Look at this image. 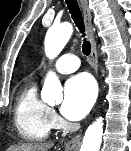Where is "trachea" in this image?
<instances>
[{"label": "trachea", "instance_id": "3493384b", "mask_svg": "<svg viewBox=\"0 0 131 151\" xmlns=\"http://www.w3.org/2000/svg\"><path fill=\"white\" fill-rule=\"evenodd\" d=\"M65 1L74 23L78 27L79 31L82 33V37H85V26L77 0H65ZM82 51L86 56L90 55L91 53V44L89 41L86 40V38H84L83 41Z\"/></svg>", "mask_w": 131, "mask_h": 151}]
</instances>
